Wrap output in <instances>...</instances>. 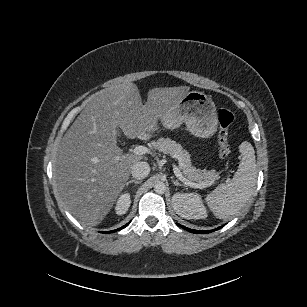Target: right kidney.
<instances>
[{"mask_svg": "<svg viewBox=\"0 0 307 307\" xmlns=\"http://www.w3.org/2000/svg\"><path fill=\"white\" fill-rule=\"evenodd\" d=\"M131 199L129 193L122 194L115 206V212L117 215H123L128 211V208L130 207Z\"/></svg>", "mask_w": 307, "mask_h": 307, "instance_id": "ca27d5eb", "label": "right kidney"}]
</instances>
